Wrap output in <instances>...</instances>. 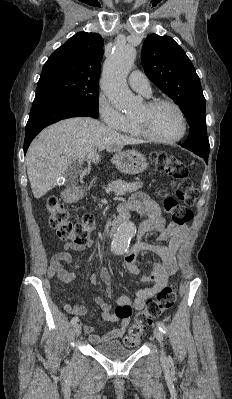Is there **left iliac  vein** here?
I'll list each match as a JSON object with an SVG mask.
<instances>
[{
	"label": "left iliac vein",
	"instance_id": "left-iliac-vein-1",
	"mask_svg": "<svg viewBox=\"0 0 232 399\" xmlns=\"http://www.w3.org/2000/svg\"><path fill=\"white\" fill-rule=\"evenodd\" d=\"M153 332L155 334V340H159V344L163 345L164 344V338L162 337L163 333L160 330H158V329L153 330ZM160 355L161 356L165 355V350L164 349L160 350Z\"/></svg>",
	"mask_w": 232,
	"mask_h": 399
}]
</instances>
